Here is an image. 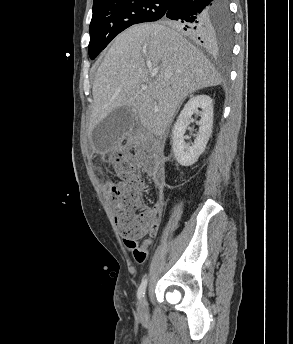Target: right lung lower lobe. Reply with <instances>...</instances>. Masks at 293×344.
Segmentation results:
<instances>
[{
    "label": "right lung lower lobe",
    "mask_w": 293,
    "mask_h": 344,
    "mask_svg": "<svg viewBox=\"0 0 293 344\" xmlns=\"http://www.w3.org/2000/svg\"><path fill=\"white\" fill-rule=\"evenodd\" d=\"M217 0H171L163 20L174 25L198 44L209 48L214 44L212 18Z\"/></svg>",
    "instance_id": "obj_1"
}]
</instances>
